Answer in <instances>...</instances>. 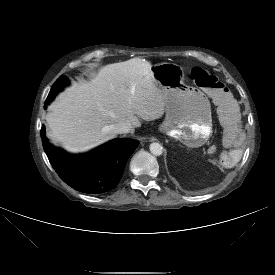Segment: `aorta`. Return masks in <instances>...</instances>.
<instances>
[{
	"label": "aorta",
	"mask_w": 275,
	"mask_h": 275,
	"mask_svg": "<svg viewBox=\"0 0 275 275\" xmlns=\"http://www.w3.org/2000/svg\"><path fill=\"white\" fill-rule=\"evenodd\" d=\"M150 152L155 156H160L163 153V147L159 143H151Z\"/></svg>",
	"instance_id": "obj_1"
}]
</instances>
